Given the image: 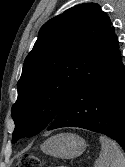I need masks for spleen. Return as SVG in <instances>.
Returning a JSON list of instances; mask_svg holds the SVG:
<instances>
[{"label":"spleen","mask_w":125,"mask_h":167,"mask_svg":"<svg viewBox=\"0 0 125 167\" xmlns=\"http://www.w3.org/2000/svg\"><path fill=\"white\" fill-rule=\"evenodd\" d=\"M101 152L94 167H125V157L113 140L100 136Z\"/></svg>","instance_id":"spleen-1"}]
</instances>
